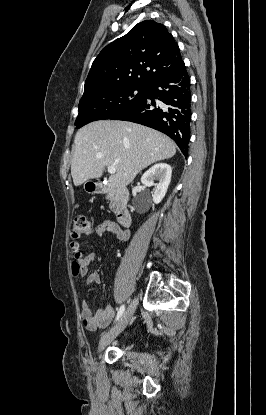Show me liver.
<instances>
[{"label":"liver","instance_id":"liver-1","mask_svg":"<svg viewBox=\"0 0 266 415\" xmlns=\"http://www.w3.org/2000/svg\"><path fill=\"white\" fill-rule=\"evenodd\" d=\"M71 175L75 186L102 176L113 165L109 186L125 188L149 165L171 158L175 143L166 135L132 122L99 120L79 129L74 139Z\"/></svg>","mask_w":266,"mask_h":415}]
</instances>
